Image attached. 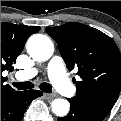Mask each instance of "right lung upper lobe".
Listing matches in <instances>:
<instances>
[{
  "mask_svg": "<svg viewBox=\"0 0 121 121\" xmlns=\"http://www.w3.org/2000/svg\"><path fill=\"white\" fill-rule=\"evenodd\" d=\"M40 30L38 26L15 25L1 22V99L15 90L5 85L6 77L2 76L5 70H13V64L24 48V44L31 34Z\"/></svg>",
  "mask_w": 121,
  "mask_h": 121,
  "instance_id": "1",
  "label": "right lung upper lobe"
}]
</instances>
